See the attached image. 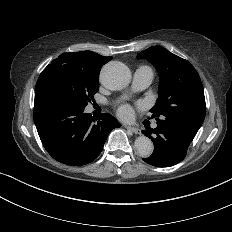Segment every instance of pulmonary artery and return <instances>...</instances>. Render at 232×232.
<instances>
[{"mask_svg":"<svg viewBox=\"0 0 232 232\" xmlns=\"http://www.w3.org/2000/svg\"><path fill=\"white\" fill-rule=\"evenodd\" d=\"M154 80V72L150 68H143L139 72V81L136 86L128 87L126 91L114 95L113 97H108L103 99V104L105 106H114L117 101V97L121 103H126L128 99H131L133 95H138L140 93V89L145 88Z\"/></svg>","mask_w":232,"mask_h":232,"instance_id":"obj_1","label":"pulmonary artery"}]
</instances>
